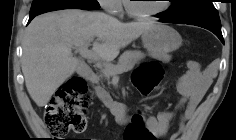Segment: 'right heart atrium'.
<instances>
[{"mask_svg": "<svg viewBox=\"0 0 236 140\" xmlns=\"http://www.w3.org/2000/svg\"><path fill=\"white\" fill-rule=\"evenodd\" d=\"M101 7L110 14H120L122 12L121 0H99Z\"/></svg>", "mask_w": 236, "mask_h": 140, "instance_id": "1", "label": "right heart atrium"}]
</instances>
